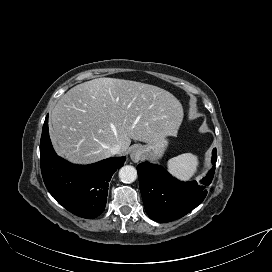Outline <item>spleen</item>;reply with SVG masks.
Masks as SVG:
<instances>
[{"mask_svg": "<svg viewBox=\"0 0 272 272\" xmlns=\"http://www.w3.org/2000/svg\"><path fill=\"white\" fill-rule=\"evenodd\" d=\"M199 161L192 153L181 154L171 158L167 162L169 172L176 178L186 181L189 180L197 171Z\"/></svg>", "mask_w": 272, "mask_h": 272, "instance_id": "spleen-1", "label": "spleen"}]
</instances>
